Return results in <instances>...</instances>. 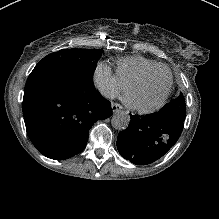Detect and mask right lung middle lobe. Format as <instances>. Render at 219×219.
I'll return each mask as SVG.
<instances>
[{"instance_id":"1","label":"right lung middle lobe","mask_w":219,"mask_h":219,"mask_svg":"<svg viewBox=\"0 0 219 219\" xmlns=\"http://www.w3.org/2000/svg\"><path fill=\"white\" fill-rule=\"evenodd\" d=\"M103 51L97 49H68L47 55L34 69L43 67L53 62L65 61L75 64L92 76V71L97 61L102 56Z\"/></svg>"}]
</instances>
